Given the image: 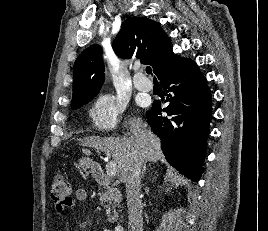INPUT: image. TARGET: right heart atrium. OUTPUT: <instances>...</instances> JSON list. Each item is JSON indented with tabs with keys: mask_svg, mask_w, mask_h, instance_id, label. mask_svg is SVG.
Returning <instances> with one entry per match:
<instances>
[{
	"mask_svg": "<svg viewBox=\"0 0 268 231\" xmlns=\"http://www.w3.org/2000/svg\"><path fill=\"white\" fill-rule=\"evenodd\" d=\"M125 110L124 100L112 93L100 94L89 109L94 126L102 131L116 129Z\"/></svg>",
	"mask_w": 268,
	"mask_h": 231,
	"instance_id": "1",
	"label": "right heart atrium"
}]
</instances>
